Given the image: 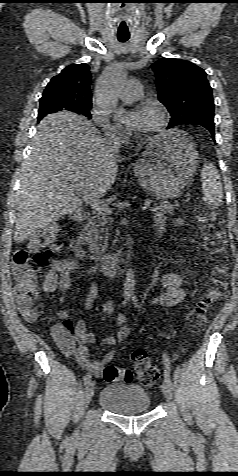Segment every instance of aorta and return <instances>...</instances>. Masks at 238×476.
Wrapping results in <instances>:
<instances>
[{"instance_id": "762f6f07", "label": "aorta", "mask_w": 238, "mask_h": 476, "mask_svg": "<svg viewBox=\"0 0 238 476\" xmlns=\"http://www.w3.org/2000/svg\"><path fill=\"white\" fill-rule=\"evenodd\" d=\"M125 79L122 67L111 68L103 77L96 92V100L102 111L107 114H122L124 110L117 106L120 88ZM135 272L129 269L124 283V304L130 301L135 288Z\"/></svg>"}]
</instances>
